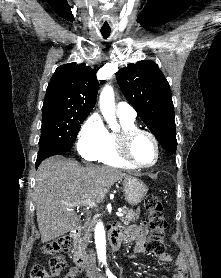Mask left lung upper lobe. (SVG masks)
<instances>
[{
	"label": "left lung upper lobe",
	"mask_w": 221,
	"mask_h": 278,
	"mask_svg": "<svg viewBox=\"0 0 221 278\" xmlns=\"http://www.w3.org/2000/svg\"><path fill=\"white\" fill-rule=\"evenodd\" d=\"M116 79L160 145L169 154H175L177 140L171 90L157 64L150 60L130 63L116 73Z\"/></svg>",
	"instance_id": "1"
}]
</instances>
